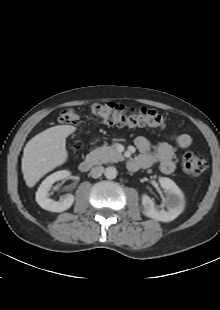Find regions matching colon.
<instances>
[{"label": "colon", "mask_w": 220, "mask_h": 310, "mask_svg": "<svg viewBox=\"0 0 220 310\" xmlns=\"http://www.w3.org/2000/svg\"><path fill=\"white\" fill-rule=\"evenodd\" d=\"M93 113L105 123L116 126L164 128L165 117L159 112L147 108H128L116 103H99L92 107ZM59 121L63 124H78L79 115L73 108L61 111ZM208 162L195 152H187L183 157V169L192 175H201L207 171Z\"/></svg>", "instance_id": "colon-1"}]
</instances>
